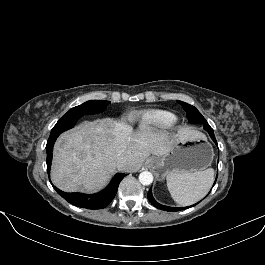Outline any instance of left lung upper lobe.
Wrapping results in <instances>:
<instances>
[{
  "mask_svg": "<svg viewBox=\"0 0 265 265\" xmlns=\"http://www.w3.org/2000/svg\"><path fill=\"white\" fill-rule=\"evenodd\" d=\"M187 113V118L190 123H205L206 119L201 115V113L192 105L187 104L182 101H178Z\"/></svg>",
  "mask_w": 265,
  "mask_h": 265,
  "instance_id": "left-lung-upper-lobe-1",
  "label": "left lung upper lobe"
}]
</instances>
